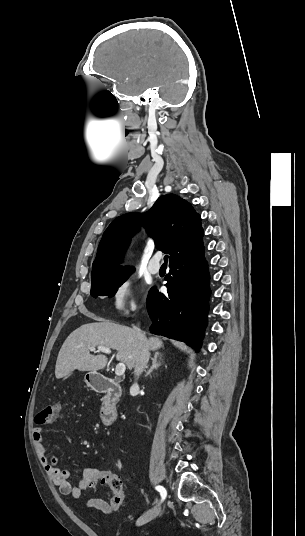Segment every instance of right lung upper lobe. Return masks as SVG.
<instances>
[{
  "label": "right lung upper lobe",
  "instance_id": "cb5924a9",
  "mask_svg": "<svg viewBox=\"0 0 305 536\" xmlns=\"http://www.w3.org/2000/svg\"><path fill=\"white\" fill-rule=\"evenodd\" d=\"M140 224L146 226L156 247L170 254V261L187 256L203 246L200 215L179 196L163 195L148 213H127L112 221L100 241L92 265L91 281L134 271L132 266L119 264L130 237L139 229Z\"/></svg>",
  "mask_w": 305,
  "mask_h": 536
}]
</instances>
